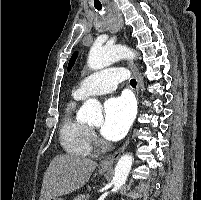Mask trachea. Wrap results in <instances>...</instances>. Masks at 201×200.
<instances>
[{"label": "trachea", "instance_id": "3493384b", "mask_svg": "<svg viewBox=\"0 0 201 200\" xmlns=\"http://www.w3.org/2000/svg\"><path fill=\"white\" fill-rule=\"evenodd\" d=\"M95 8H96L98 11H101V10H102V6H101V5H96ZM130 85H131L132 87H136V85H137L136 80H135V79H131V80H130Z\"/></svg>", "mask_w": 201, "mask_h": 200}]
</instances>
